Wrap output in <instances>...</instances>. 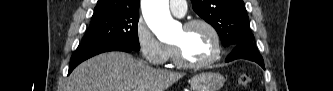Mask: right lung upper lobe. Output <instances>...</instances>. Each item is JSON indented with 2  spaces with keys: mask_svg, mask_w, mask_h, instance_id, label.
Instances as JSON below:
<instances>
[{
  "mask_svg": "<svg viewBox=\"0 0 333 91\" xmlns=\"http://www.w3.org/2000/svg\"><path fill=\"white\" fill-rule=\"evenodd\" d=\"M140 0H98L92 18L138 12Z\"/></svg>",
  "mask_w": 333,
  "mask_h": 91,
  "instance_id": "cb5924a9",
  "label": "right lung upper lobe"
}]
</instances>
